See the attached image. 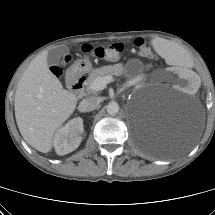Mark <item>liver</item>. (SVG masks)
I'll return each instance as SVG.
<instances>
[{"mask_svg":"<svg viewBox=\"0 0 215 215\" xmlns=\"http://www.w3.org/2000/svg\"><path fill=\"white\" fill-rule=\"evenodd\" d=\"M47 55L44 51L31 61L19 80L14 101L15 118L22 137L42 153L51 151L56 130L77 105V97L63 89L50 71Z\"/></svg>","mask_w":215,"mask_h":215,"instance_id":"liver-1","label":"liver"}]
</instances>
